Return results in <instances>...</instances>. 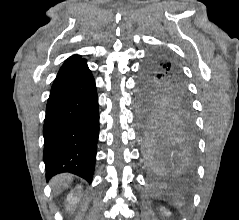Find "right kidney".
Listing matches in <instances>:
<instances>
[{
  "label": "right kidney",
  "instance_id": "right-kidney-1",
  "mask_svg": "<svg viewBox=\"0 0 239 220\" xmlns=\"http://www.w3.org/2000/svg\"><path fill=\"white\" fill-rule=\"evenodd\" d=\"M77 192L81 190V186L76 187ZM80 200L78 193H74V191H71L67 197V201L69 203L68 210H71V207L76 204Z\"/></svg>",
  "mask_w": 239,
  "mask_h": 220
}]
</instances>
